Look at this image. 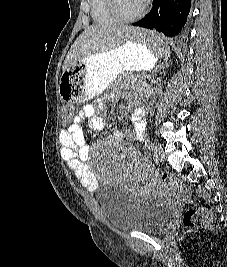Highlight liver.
Listing matches in <instances>:
<instances>
[{
	"label": "liver",
	"mask_w": 227,
	"mask_h": 267,
	"mask_svg": "<svg viewBox=\"0 0 227 267\" xmlns=\"http://www.w3.org/2000/svg\"><path fill=\"white\" fill-rule=\"evenodd\" d=\"M142 29L126 30V25H91L87 27L72 45L62 66L63 72L69 64L94 54L112 50L130 40L128 33H141Z\"/></svg>",
	"instance_id": "1"
}]
</instances>
